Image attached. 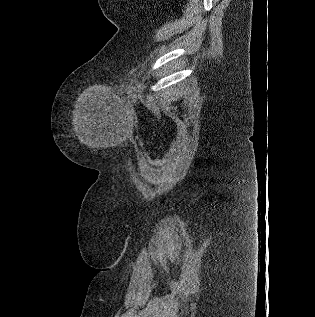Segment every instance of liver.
Returning a JSON list of instances; mask_svg holds the SVG:
<instances>
[{
	"mask_svg": "<svg viewBox=\"0 0 315 317\" xmlns=\"http://www.w3.org/2000/svg\"><path fill=\"white\" fill-rule=\"evenodd\" d=\"M77 118H78V116H77V114H75V120H76V123H77Z\"/></svg>",
	"mask_w": 315,
	"mask_h": 317,
	"instance_id": "liver-1",
	"label": "liver"
}]
</instances>
